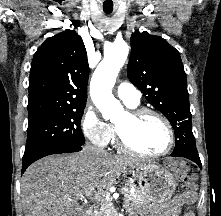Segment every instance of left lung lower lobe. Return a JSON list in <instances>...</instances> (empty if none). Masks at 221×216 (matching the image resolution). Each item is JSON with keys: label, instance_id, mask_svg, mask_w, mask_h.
Returning <instances> with one entry per match:
<instances>
[{"label": "left lung lower lobe", "instance_id": "1", "mask_svg": "<svg viewBox=\"0 0 221 216\" xmlns=\"http://www.w3.org/2000/svg\"><path fill=\"white\" fill-rule=\"evenodd\" d=\"M171 156L173 157H184L187 158L189 160H192L193 162H195L200 168H202L201 165V161L199 158V155L197 152L193 151V149H191L188 146H184V145H175V148L171 154Z\"/></svg>", "mask_w": 221, "mask_h": 216}]
</instances>
